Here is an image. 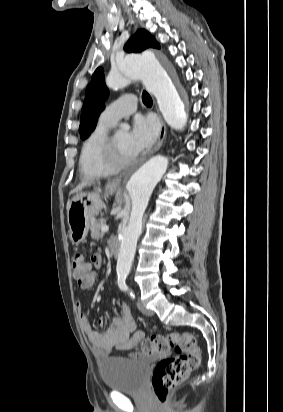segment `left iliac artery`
<instances>
[{
	"label": "left iliac artery",
	"mask_w": 283,
	"mask_h": 412,
	"mask_svg": "<svg viewBox=\"0 0 283 412\" xmlns=\"http://www.w3.org/2000/svg\"><path fill=\"white\" fill-rule=\"evenodd\" d=\"M126 280V275L125 274H118V285L120 287V289L124 290V291H130L125 283ZM130 295L132 298H135V295L133 294L132 291H130Z\"/></svg>",
	"instance_id": "44dca946"
}]
</instances>
